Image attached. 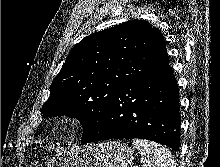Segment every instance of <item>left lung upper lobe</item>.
I'll return each instance as SVG.
<instances>
[{"mask_svg": "<svg viewBox=\"0 0 220 167\" xmlns=\"http://www.w3.org/2000/svg\"><path fill=\"white\" fill-rule=\"evenodd\" d=\"M168 58L161 32L132 20L76 44L50 87L42 113L79 119L82 141L94 136L119 89Z\"/></svg>", "mask_w": 220, "mask_h": 167, "instance_id": "left-lung-upper-lobe-1", "label": "left lung upper lobe"}]
</instances>
